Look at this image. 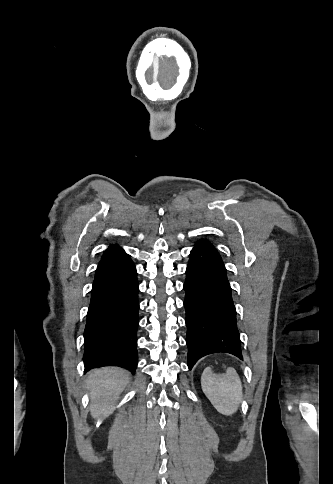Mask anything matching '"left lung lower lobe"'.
Segmentation results:
<instances>
[{
	"label": "left lung lower lobe",
	"mask_w": 333,
	"mask_h": 484,
	"mask_svg": "<svg viewBox=\"0 0 333 484\" xmlns=\"http://www.w3.org/2000/svg\"><path fill=\"white\" fill-rule=\"evenodd\" d=\"M184 290L189 369L212 353H230L241 359L236 310L226 269L207 240H199L190 253Z\"/></svg>",
	"instance_id": "obj_1"
}]
</instances>
